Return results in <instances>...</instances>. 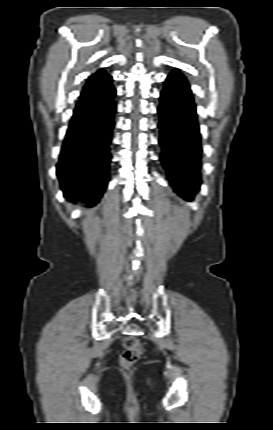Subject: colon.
I'll use <instances>...</instances> for the list:
<instances>
[{"label": "colon", "mask_w": 273, "mask_h": 430, "mask_svg": "<svg viewBox=\"0 0 273 430\" xmlns=\"http://www.w3.org/2000/svg\"><path fill=\"white\" fill-rule=\"evenodd\" d=\"M143 344L133 336H128L124 340V350L120 355V363L124 368L131 367L142 355Z\"/></svg>", "instance_id": "1"}]
</instances>
